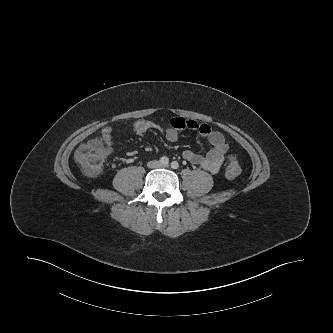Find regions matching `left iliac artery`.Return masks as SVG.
Masks as SVG:
<instances>
[{"instance_id": "44dca946", "label": "left iliac artery", "mask_w": 333, "mask_h": 333, "mask_svg": "<svg viewBox=\"0 0 333 333\" xmlns=\"http://www.w3.org/2000/svg\"><path fill=\"white\" fill-rule=\"evenodd\" d=\"M171 167H172L173 169H178V168H179V163H178L177 161H173V162L171 163Z\"/></svg>"}]
</instances>
